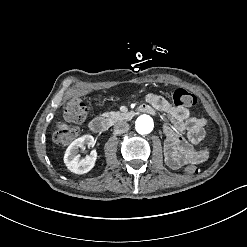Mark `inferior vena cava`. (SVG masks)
<instances>
[{
	"mask_svg": "<svg viewBox=\"0 0 247 247\" xmlns=\"http://www.w3.org/2000/svg\"><path fill=\"white\" fill-rule=\"evenodd\" d=\"M129 130V125L127 122L121 121L114 125V132L116 134H123Z\"/></svg>",
	"mask_w": 247,
	"mask_h": 247,
	"instance_id": "1",
	"label": "inferior vena cava"
}]
</instances>
